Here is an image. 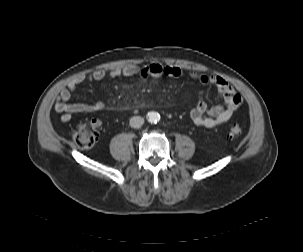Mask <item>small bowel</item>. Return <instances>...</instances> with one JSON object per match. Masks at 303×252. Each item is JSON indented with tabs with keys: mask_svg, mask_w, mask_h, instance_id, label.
<instances>
[{
	"mask_svg": "<svg viewBox=\"0 0 303 252\" xmlns=\"http://www.w3.org/2000/svg\"><path fill=\"white\" fill-rule=\"evenodd\" d=\"M138 76L142 79L149 77H182L183 70L175 65H162L152 63L147 66L129 65L122 69H114L110 71L95 70L91 73L79 75L73 79L58 94L54 103V110L60 114V120L67 123L72 119L74 113H85L93 111H101L106 108L103 101L95 103H70V97L73 92L85 81H101L106 77H134ZM193 77L204 86L215 88L223 98V104L208 108L205 101V92H200L198 102L189 113L190 120L197 126L206 128H214L227 122L233 114L238 110L243 102L242 96L222 77L210 74H194ZM98 124L102 121L98 120Z\"/></svg>",
	"mask_w": 303,
	"mask_h": 252,
	"instance_id": "small-bowel-1",
	"label": "small bowel"
}]
</instances>
